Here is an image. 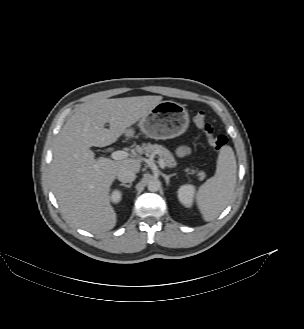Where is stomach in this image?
<instances>
[{
  "label": "stomach",
  "mask_w": 304,
  "mask_h": 329,
  "mask_svg": "<svg viewBox=\"0 0 304 329\" xmlns=\"http://www.w3.org/2000/svg\"><path fill=\"white\" fill-rule=\"evenodd\" d=\"M189 125L186 108L174 101H161L148 115L141 118L140 130L153 139H170L183 134ZM134 131L127 129L125 135L132 137Z\"/></svg>",
  "instance_id": "0dacf381"
}]
</instances>
